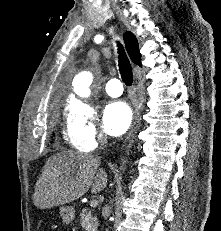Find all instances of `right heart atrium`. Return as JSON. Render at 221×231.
I'll list each match as a JSON object with an SVG mask.
<instances>
[{"label":"right heart atrium","mask_w":221,"mask_h":231,"mask_svg":"<svg viewBox=\"0 0 221 231\" xmlns=\"http://www.w3.org/2000/svg\"><path fill=\"white\" fill-rule=\"evenodd\" d=\"M66 138L80 151L96 149L105 135L99 130L94 106L83 100L72 102L66 111Z\"/></svg>","instance_id":"obj_1"}]
</instances>
